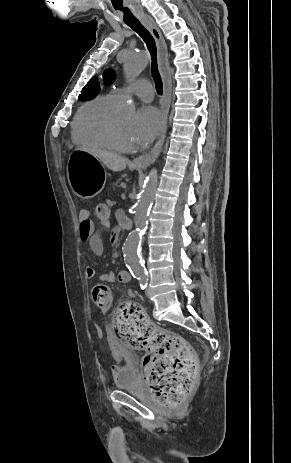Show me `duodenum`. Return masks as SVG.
Returning a JSON list of instances; mask_svg holds the SVG:
<instances>
[{
    "label": "duodenum",
    "mask_w": 291,
    "mask_h": 463,
    "mask_svg": "<svg viewBox=\"0 0 291 463\" xmlns=\"http://www.w3.org/2000/svg\"><path fill=\"white\" fill-rule=\"evenodd\" d=\"M120 227L122 229H129L131 227V222L127 218H120ZM112 239V237H111Z\"/></svg>",
    "instance_id": "410a0bca"
}]
</instances>
